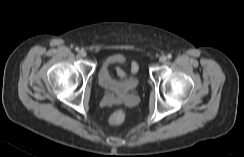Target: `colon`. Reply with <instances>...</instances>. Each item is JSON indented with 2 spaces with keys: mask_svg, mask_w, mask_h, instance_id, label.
Wrapping results in <instances>:
<instances>
[{
  "mask_svg": "<svg viewBox=\"0 0 244 157\" xmlns=\"http://www.w3.org/2000/svg\"><path fill=\"white\" fill-rule=\"evenodd\" d=\"M132 70L133 72H136L138 70V65L136 63H133ZM117 73L120 77H124V73L121 70H118ZM124 119L125 112L122 109H117L110 116L109 123L111 125H119L124 121Z\"/></svg>",
  "mask_w": 244,
  "mask_h": 157,
  "instance_id": "5ec220e1",
  "label": "colon"
}]
</instances>
